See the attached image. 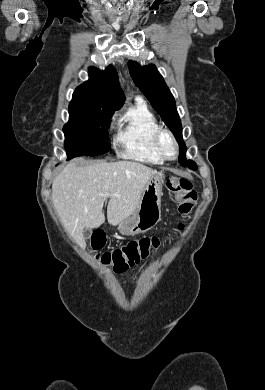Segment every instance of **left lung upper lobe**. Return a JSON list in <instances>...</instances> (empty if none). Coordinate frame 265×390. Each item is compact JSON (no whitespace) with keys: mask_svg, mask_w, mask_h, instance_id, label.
I'll list each match as a JSON object with an SVG mask.
<instances>
[{"mask_svg":"<svg viewBox=\"0 0 265 390\" xmlns=\"http://www.w3.org/2000/svg\"><path fill=\"white\" fill-rule=\"evenodd\" d=\"M129 72L135 85L145 94L152 107L162 117L165 124L177 139L180 148L179 162L183 167L197 170V165L185 157L186 147L182 139V125L176 109V103L163 77L155 65L141 66L130 60Z\"/></svg>","mask_w":265,"mask_h":390,"instance_id":"obj_1","label":"left lung upper lobe"}]
</instances>
